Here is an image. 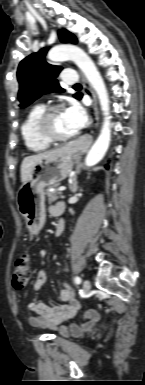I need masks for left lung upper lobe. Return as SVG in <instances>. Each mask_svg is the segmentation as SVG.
<instances>
[{"label":"left lung upper lobe","mask_w":145,"mask_h":385,"mask_svg":"<svg viewBox=\"0 0 145 385\" xmlns=\"http://www.w3.org/2000/svg\"><path fill=\"white\" fill-rule=\"evenodd\" d=\"M58 34L62 43L77 42L76 37L65 29L59 30ZM47 50V48H43L39 52L29 55L18 66L17 78L20 86L18 99L20 107L28 106L42 94L64 91L55 79L62 67L50 65L45 61L44 56ZM81 96L79 93L74 95L77 99H80Z\"/></svg>","instance_id":"obj_1"}]
</instances>
